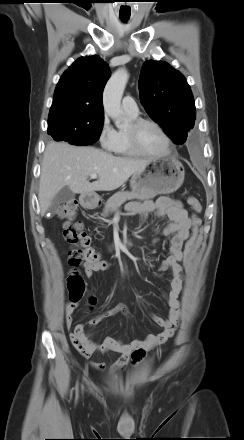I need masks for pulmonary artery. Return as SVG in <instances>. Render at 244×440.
Returning a JSON list of instances; mask_svg holds the SVG:
<instances>
[{
    "label": "pulmonary artery",
    "instance_id": "e3ab8cb5",
    "mask_svg": "<svg viewBox=\"0 0 244 440\" xmlns=\"http://www.w3.org/2000/svg\"><path fill=\"white\" fill-rule=\"evenodd\" d=\"M122 109L130 115H137L138 114V106L136 104V101L133 97L127 95L122 100Z\"/></svg>",
    "mask_w": 244,
    "mask_h": 440
}]
</instances>
